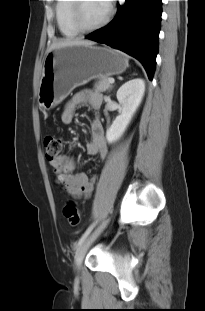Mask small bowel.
<instances>
[{
  "label": "small bowel",
  "instance_id": "c3829d8e",
  "mask_svg": "<svg viewBox=\"0 0 205 311\" xmlns=\"http://www.w3.org/2000/svg\"><path fill=\"white\" fill-rule=\"evenodd\" d=\"M90 105L98 110L102 105L100 93L90 90L79 91L67 102L61 112V122L71 124L74 121L78 108ZM90 140L87 142V153L91 156H99L102 160L107 157V147L103 134V126L98 117H95L89 125ZM56 175L57 182L72 197L88 196L94 187L95 178L86 173L73 174L75 162L72 157L62 154L50 162Z\"/></svg>",
  "mask_w": 205,
  "mask_h": 311
}]
</instances>
